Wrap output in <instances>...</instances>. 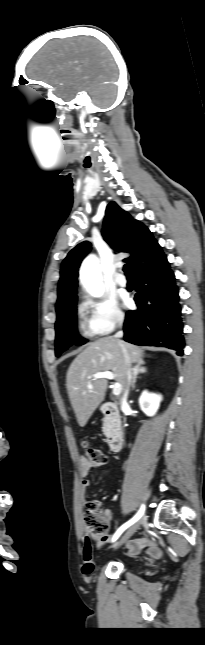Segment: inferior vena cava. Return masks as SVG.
I'll list each match as a JSON object with an SVG mask.
<instances>
[{
  "label": "inferior vena cava",
  "instance_id": "obj_1",
  "mask_svg": "<svg viewBox=\"0 0 205 645\" xmlns=\"http://www.w3.org/2000/svg\"><path fill=\"white\" fill-rule=\"evenodd\" d=\"M122 324H123V320H120V321H119V325H120V326H122ZM122 336H123V331H118V332L115 334V338H122ZM124 353H125V358H126L127 363H128V368H127V386H126V389H125V391H124V394H123V396H122V398H121V406H124L125 404H127V397H128V394H129V387H130V384H131V381H132V375H133V372H132V371H133V369H131V368H130V359H129L128 354L126 353V350H124Z\"/></svg>",
  "mask_w": 205,
  "mask_h": 645
}]
</instances>
